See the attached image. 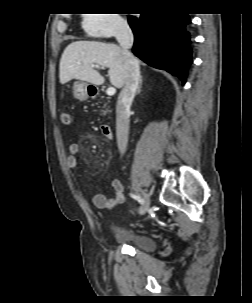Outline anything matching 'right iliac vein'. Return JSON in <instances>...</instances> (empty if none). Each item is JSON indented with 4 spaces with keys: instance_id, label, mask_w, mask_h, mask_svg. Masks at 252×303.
<instances>
[{
    "instance_id": "63e3f726",
    "label": "right iliac vein",
    "mask_w": 252,
    "mask_h": 303,
    "mask_svg": "<svg viewBox=\"0 0 252 303\" xmlns=\"http://www.w3.org/2000/svg\"><path fill=\"white\" fill-rule=\"evenodd\" d=\"M143 195V203L142 205L140 206V209H139V214L140 215H144L148 209H149V206H150V198L148 195L142 193Z\"/></svg>"
}]
</instances>
